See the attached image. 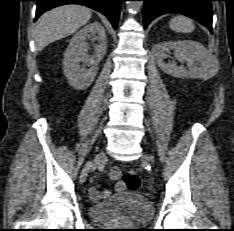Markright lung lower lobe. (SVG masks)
I'll return each instance as SVG.
<instances>
[{"mask_svg": "<svg viewBox=\"0 0 234 231\" xmlns=\"http://www.w3.org/2000/svg\"><path fill=\"white\" fill-rule=\"evenodd\" d=\"M37 1V19L42 13L64 4H80L95 9L104 14L117 28L120 5L123 0H35Z\"/></svg>", "mask_w": 234, "mask_h": 231, "instance_id": "obj_1", "label": "right lung lower lobe"}]
</instances>
